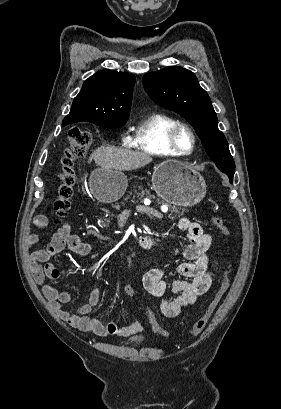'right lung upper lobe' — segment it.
Returning <instances> with one entry per match:
<instances>
[{"label": "right lung upper lobe", "instance_id": "obj_1", "mask_svg": "<svg viewBox=\"0 0 281 409\" xmlns=\"http://www.w3.org/2000/svg\"><path fill=\"white\" fill-rule=\"evenodd\" d=\"M134 84L135 76L127 72H97L84 82L62 125L81 121L94 124L127 122Z\"/></svg>", "mask_w": 281, "mask_h": 409}]
</instances>
